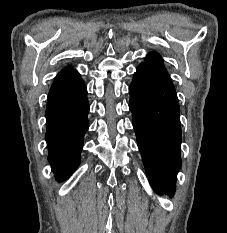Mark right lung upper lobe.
<instances>
[{"mask_svg": "<svg viewBox=\"0 0 227 233\" xmlns=\"http://www.w3.org/2000/svg\"><path fill=\"white\" fill-rule=\"evenodd\" d=\"M81 80L80 74L74 69L67 67L62 70L55 78L52 87L50 89L48 98H51L63 90L71 87L75 83Z\"/></svg>", "mask_w": 227, "mask_h": 233, "instance_id": "right-lung-upper-lobe-1", "label": "right lung upper lobe"}]
</instances>
